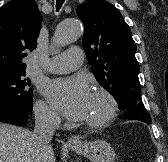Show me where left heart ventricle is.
I'll return each mask as SVG.
<instances>
[{
  "label": "left heart ventricle",
  "instance_id": "1",
  "mask_svg": "<svg viewBox=\"0 0 168 162\" xmlns=\"http://www.w3.org/2000/svg\"><path fill=\"white\" fill-rule=\"evenodd\" d=\"M105 111H106V103L104 99L92 94L89 101L86 116L83 120L84 122H87L99 119L104 115Z\"/></svg>",
  "mask_w": 168,
  "mask_h": 162
}]
</instances>
